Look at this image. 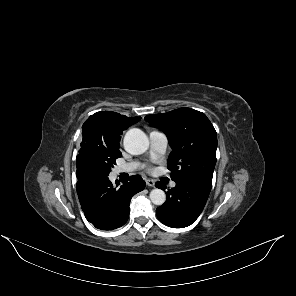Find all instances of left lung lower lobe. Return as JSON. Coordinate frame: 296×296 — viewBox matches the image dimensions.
Masks as SVG:
<instances>
[{
  "instance_id": "1",
  "label": "left lung lower lobe",
  "mask_w": 296,
  "mask_h": 296,
  "mask_svg": "<svg viewBox=\"0 0 296 296\" xmlns=\"http://www.w3.org/2000/svg\"><path fill=\"white\" fill-rule=\"evenodd\" d=\"M211 186L212 182L207 180L176 182V186L166 192V202L156 209L159 220L172 228L191 225L202 212ZM156 187L166 189L161 182H157Z\"/></svg>"
}]
</instances>
